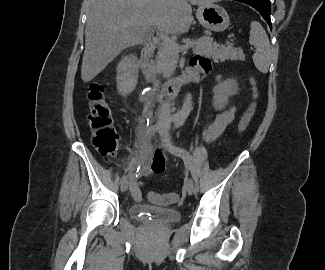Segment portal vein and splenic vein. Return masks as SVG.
Masks as SVG:
<instances>
[{
  "label": "portal vein and splenic vein",
  "mask_w": 325,
  "mask_h": 270,
  "mask_svg": "<svg viewBox=\"0 0 325 270\" xmlns=\"http://www.w3.org/2000/svg\"><path fill=\"white\" fill-rule=\"evenodd\" d=\"M160 39L162 40V42L164 44H167L169 46L174 47L175 49H177L178 51H184L189 49L190 47H193L194 42H190L186 45L180 46L178 45L173 39H171L168 35L160 33Z\"/></svg>",
  "instance_id": "portal-vein-and-splenic-vein-1"
}]
</instances>
